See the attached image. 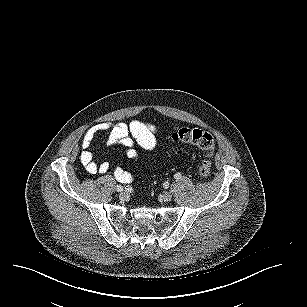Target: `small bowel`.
<instances>
[{"label": "small bowel", "instance_id": "obj_1", "mask_svg": "<svg viewBox=\"0 0 307 307\" xmlns=\"http://www.w3.org/2000/svg\"><path fill=\"white\" fill-rule=\"evenodd\" d=\"M107 134L108 146H120L126 151L129 158L137 160L139 158L134 148L135 142L144 150L152 151L157 146L156 128L154 125L146 124L138 120L116 124L106 122L96 124L85 131L81 139L80 162L85 171L89 174H106L110 170L108 162L98 163L94 160L91 145L94 138L100 134ZM115 179L120 183H130L134 176L129 171L116 167L113 171Z\"/></svg>", "mask_w": 307, "mask_h": 307}]
</instances>
